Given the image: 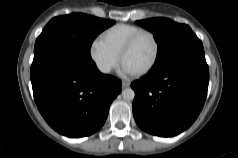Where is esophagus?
I'll return each mask as SVG.
<instances>
[{"instance_id":"34e87169","label":"esophagus","mask_w":238,"mask_h":158,"mask_svg":"<svg viewBox=\"0 0 238 158\" xmlns=\"http://www.w3.org/2000/svg\"><path fill=\"white\" fill-rule=\"evenodd\" d=\"M130 86V82H128V81H123L122 82V87L123 88H127V87H129Z\"/></svg>"}]
</instances>
